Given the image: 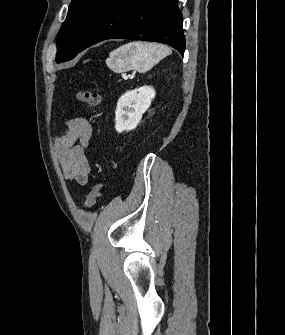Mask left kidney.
<instances>
[{
    "instance_id": "5707ae66",
    "label": "left kidney",
    "mask_w": 285,
    "mask_h": 335,
    "mask_svg": "<svg viewBox=\"0 0 285 335\" xmlns=\"http://www.w3.org/2000/svg\"><path fill=\"white\" fill-rule=\"evenodd\" d=\"M155 90L151 86H142L137 90H130L118 100L115 112V130L129 132L138 126L142 114L151 106L155 98Z\"/></svg>"
}]
</instances>
